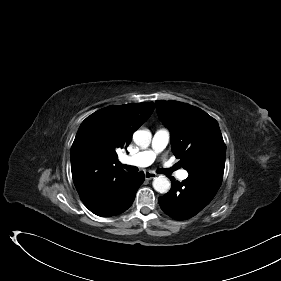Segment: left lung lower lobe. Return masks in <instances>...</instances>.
Listing matches in <instances>:
<instances>
[{
  "mask_svg": "<svg viewBox=\"0 0 281 281\" xmlns=\"http://www.w3.org/2000/svg\"><path fill=\"white\" fill-rule=\"evenodd\" d=\"M172 181L171 190L158 198L161 209L176 220H186L195 216L208 205L220 185L197 175H189L181 183L169 177Z\"/></svg>",
  "mask_w": 281,
  "mask_h": 281,
  "instance_id": "obj_1",
  "label": "left lung lower lobe"
}]
</instances>
